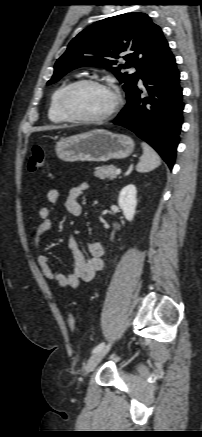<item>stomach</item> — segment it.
Masks as SVG:
<instances>
[{
	"label": "stomach",
	"mask_w": 202,
	"mask_h": 437,
	"mask_svg": "<svg viewBox=\"0 0 202 437\" xmlns=\"http://www.w3.org/2000/svg\"><path fill=\"white\" fill-rule=\"evenodd\" d=\"M133 151L134 142L129 136L103 129L64 138L55 146L58 158L66 162H107L127 158Z\"/></svg>",
	"instance_id": "0dacf381"
}]
</instances>
